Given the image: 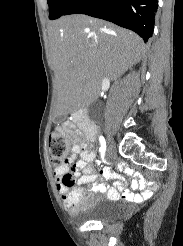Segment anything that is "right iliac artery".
<instances>
[{"mask_svg":"<svg viewBox=\"0 0 183 246\" xmlns=\"http://www.w3.org/2000/svg\"><path fill=\"white\" fill-rule=\"evenodd\" d=\"M99 141H100L101 158L104 159L105 151H106V141L103 136L99 137Z\"/></svg>","mask_w":183,"mask_h":246,"instance_id":"obj_1","label":"right iliac artery"}]
</instances>
